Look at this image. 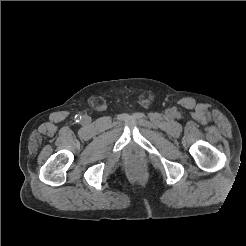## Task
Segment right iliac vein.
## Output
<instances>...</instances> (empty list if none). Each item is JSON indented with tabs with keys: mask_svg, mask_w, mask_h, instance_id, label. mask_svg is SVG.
<instances>
[{
	"mask_svg": "<svg viewBox=\"0 0 246 246\" xmlns=\"http://www.w3.org/2000/svg\"><path fill=\"white\" fill-rule=\"evenodd\" d=\"M88 121H89V118L86 117V116H84V117H83V122H84V123H87Z\"/></svg>",
	"mask_w": 246,
	"mask_h": 246,
	"instance_id": "1",
	"label": "right iliac vein"
}]
</instances>
